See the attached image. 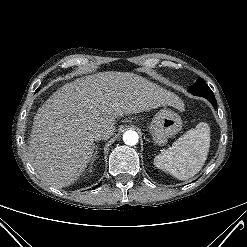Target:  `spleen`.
<instances>
[{
    "instance_id": "1",
    "label": "spleen",
    "mask_w": 247,
    "mask_h": 247,
    "mask_svg": "<svg viewBox=\"0 0 247 247\" xmlns=\"http://www.w3.org/2000/svg\"><path fill=\"white\" fill-rule=\"evenodd\" d=\"M210 147V127L200 122L188 130L172 147L154 158L155 166L179 180L195 176L203 167Z\"/></svg>"
}]
</instances>
